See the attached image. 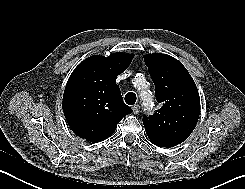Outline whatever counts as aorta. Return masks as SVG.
Segmentation results:
<instances>
[{"label":"aorta","mask_w":245,"mask_h":189,"mask_svg":"<svg viewBox=\"0 0 245 189\" xmlns=\"http://www.w3.org/2000/svg\"><path fill=\"white\" fill-rule=\"evenodd\" d=\"M140 79L142 80L141 82H144V78L142 76L140 77ZM144 94H146V93L141 94V98L143 100V105L147 111H150V110H152V107H153L152 98L151 97H144Z\"/></svg>","instance_id":"obj_1"}]
</instances>
